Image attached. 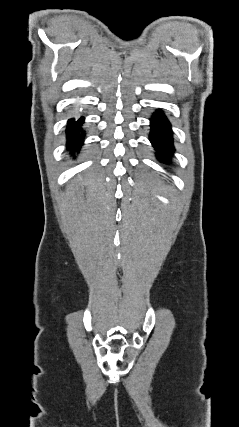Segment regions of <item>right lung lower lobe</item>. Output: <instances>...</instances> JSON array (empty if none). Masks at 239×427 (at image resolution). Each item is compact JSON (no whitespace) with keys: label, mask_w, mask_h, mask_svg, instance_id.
Segmentation results:
<instances>
[{"label":"right lung lower lobe","mask_w":239,"mask_h":427,"mask_svg":"<svg viewBox=\"0 0 239 427\" xmlns=\"http://www.w3.org/2000/svg\"><path fill=\"white\" fill-rule=\"evenodd\" d=\"M83 123L84 117L82 116L78 121H69L67 124V147L70 148L71 154H74V151L80 150L84 140L85 131L82 129Z\"/></svg>","instance_id":"right-lung-lower-lobe-1"}]
</instances>
